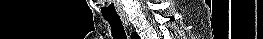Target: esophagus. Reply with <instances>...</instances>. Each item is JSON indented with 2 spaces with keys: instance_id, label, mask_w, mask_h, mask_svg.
Returning <instances> with one entry per match:
<instances>
[{
  "instance_id": "34e87169",
  "label": "esophagus",
  "mask_w": 263,
  "mask_h": 39,
  "mask_svg": "<svg viewBox=\"0 0 263 39\" xmlns=\"http://www.w3.org/2000/svg\"><path fill=\"white\" fill-rule=\"evenodd\" d=\"M122 21L126 26H129V21L127 18H122Z\"/></svg>"
}]
</instances>
